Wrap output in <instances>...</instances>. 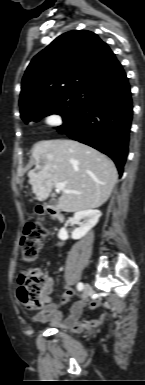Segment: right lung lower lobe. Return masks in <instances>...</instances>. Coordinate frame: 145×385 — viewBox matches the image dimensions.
<instances>
[{"mask_svg": "<svg viewBox=\"0 0 145 385\" xmlns=\"http://www.w3.org/2000/svg\"><path fill=\"white\" fill-rule=\"evenodd\" d=\"M132 115L130 85L123 72L95 88L85 106L58 131L108 155L122 175Z\"/></svg>", "mask_w": 145, "mask_h": 385, "instance_id": "obj_1", "label": "right lung lower lobe"}]
</instances>
